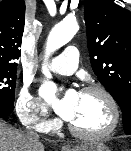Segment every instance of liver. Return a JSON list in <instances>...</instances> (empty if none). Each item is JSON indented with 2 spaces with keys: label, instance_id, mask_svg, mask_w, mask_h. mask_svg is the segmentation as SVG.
Here are the masks:
<instances>
[{
  "label": "liver",
  "instance_id": "obj_1",
  "mask_svg": "<svg viewBox=\"0 0 131 151\" xmlns=\"http://www.w3.org/2000/svg\"><path fill=\"white\" fill-rule=\"evenodd\" d=\"M0 151H44V146L0 121Z\"/></svg>",
  "mask_w": 131,
  "mask_h": 151
}]
</instances>
